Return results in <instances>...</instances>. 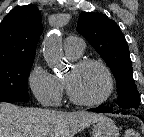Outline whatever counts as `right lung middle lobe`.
Here are the masks:
<instances>
[{
	"label": "right lung middle lobe",
	"mask_w": 144,
	"mask_h": 137,
	"mask_svg": "<svg viewBox=\"0 0 144 137\" xmlns=\"http://www.w3.org/2000/svg\"><path fill=\"white\" fill-rule=\"evenodd\" d=\"M34 58L0 63V102L28 101L27 77Z\"/></svg>",
	"instance_id": "right-lung-middle-lobe-1"
}]
</instances>
